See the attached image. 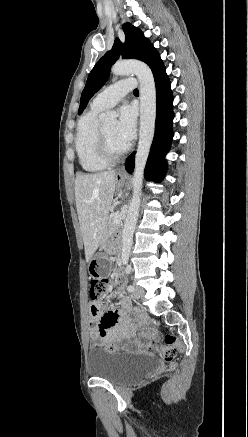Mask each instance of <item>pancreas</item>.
<instances>
[{
    "label": "pancreas",
    "instance_id": "pancreas-1",
    "mask_svg": "<svg viewBox=\"0 0 248 437\" xmlns=\"http://www.w3.org/2000/svg\"><path fill=\"white\" fill-rule=\"evenodd\" d=\"M114 217L115 216H111L106 222V229L108 234H112L118 229V225L114 222Z\"/></svg>",
    "mask_w": 248,
    "mask_h": 437
}]
</instances>
